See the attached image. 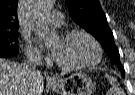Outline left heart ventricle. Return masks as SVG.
I'll list each match as a JSON object with an SVG mask.
<instances>
[{
	"instance_id": "1",
	"label": "left heart ventricle",
	"mask_w": 135,
	"mask_h": 95,
	"mask_svg": "<svg viewBox=\"0 0 135 95\" xmlns=\"http://www.w3.org/2000/svg\"><path fill=\"white\" fill-rule=\"evenodd\" d=\"M50 29H56L49 26ZM59 48L57 60L67 65H80L91 62L96 56V51L89 39L82 35L69 38L57 37L53 46Z\"/></svg>"
}]
</instances>
